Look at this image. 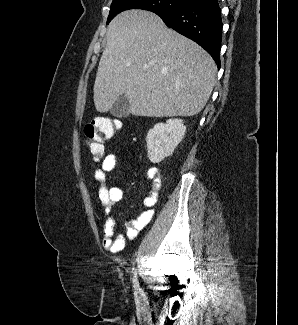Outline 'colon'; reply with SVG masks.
Listing matches in <instances>:
<instances>
[{"instance_id":"5ec220e1","label":"colon","mask_w":298,"mask_h":325,"mask_svg":"<svg viewBox=\"0 0 298 325\" xmlns=\"http://www.w3.org/2000/svg\"><path fill=\"white\" fill-rule=\"evenodd\" d=\"M118 119L96 117L85 126V143L94 159L102 155L104 143L120 128Z\"/></svg>"}]
</instances>
